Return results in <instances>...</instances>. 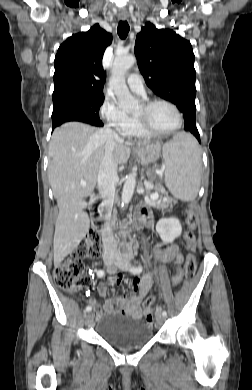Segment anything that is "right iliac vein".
Returning a JSON list of instances; mask_svg holds the SVG:
<instances>
[{"label":"right iliac vein","mask_w":252,"mask_h":390,"mask_svg":"<svg viewBox=\"0 0 252 390\" xmlns=\"http://www.w3.org/2000/svg\"><path fill=\"white\" fill-rule=\"evenodd\" d=\"M115 261H116L115 256H108V257L104 258V263L108 268H110L114 264ZM85 319H86V324H90L92 317L90 314H86Z\"/></svg>","instance_id":"right-iliac-vein-1"}]
</instances>
